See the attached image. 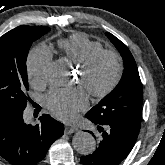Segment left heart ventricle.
I'll return each mask as SVG.
<instances>
[{
  "label": "left heart ventricle",
  "mask_w": 165,
  "mask_h": 165,
  "mask_svg": "<svg viewBox=\"0 0 165 165\" xmlns=\"http://www.w3.org/2000/svg\"><path fill=\"white\" fill-rule=\"evenodd\" d=\"M115 67L113 61L108 58H102L91 71L88 77V83L91 87L101 89L105 87L114 75ZM79 73V80H80Z\"/></svg>",
  "instance_id": "left-heart-ventricle-1"
}]
</instances>
